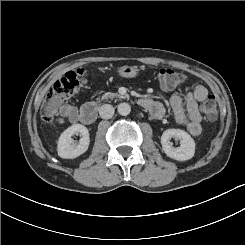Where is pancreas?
<instances>
[{
    "instance_id": "cf45deb5",
    "label": "pancreas",
    "mask_w": 245,
    "mask_h": 245,
    "mask_svg": "<svg viewBox=\"0 0 245 245\" xmlns=\"http://www.w3.org/2000/svg\"><path fill=\"white\" fill-rule=\"evenodd\" d=\"M112 97L124 98L123 95L118 94V93H105L102 96H98L97 99L99 100L100 98H102V100L105 101V99H110Z\"/></svg>"
}]
</instances>
